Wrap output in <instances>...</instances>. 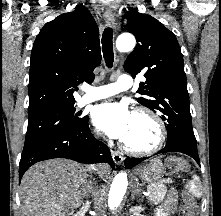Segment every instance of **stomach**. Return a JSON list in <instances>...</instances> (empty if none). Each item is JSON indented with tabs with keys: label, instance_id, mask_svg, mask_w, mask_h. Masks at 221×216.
Returning <instances> with one entry per match:
<instances>
[{
	"label": "stomach",
	"instance_id": "obj_1",
	"mask_svg": "<svg viewBox=\"0 0 221 216\" xmlns=\"http://www.w3.org/2000/svg\"><path fill=\"white\" fill-rule=\"evenodd\" d=\"M136 173L144 182L153 185L161 181L166 169L159 159H152L140 166Z\"/></svg>",
	"mask_w": 221,
	"mask_h": 216
}]
</instances>
